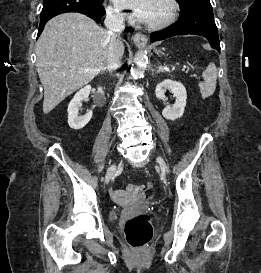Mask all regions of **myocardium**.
I'll list each match as a JSON object with an SVG mask.
<instances>
[{
    "mask_svg": "<svg viewBox=\"0 0 261 273\" xmlns=\"http://www.w3.org/2000/svg\"><path fill=\"white\" fill-rule=\"evenodd\" d=\"M164 2L167 4L169 9L167 16L160 21L147 23L146 26L148 28L154 30L163 29L171 25L177 18L179 12V4L177 0H164Z\"/></svg>",
    "mask_w": 261,
    "mask_h": 273,
    "instance_id": "f54148a6",
    "label": "myocardium"
}]
</instances>
